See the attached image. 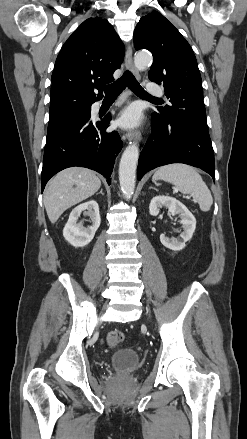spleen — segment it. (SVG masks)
<instances>
[{"mask_svg":"<svg viewBox=\"0 0 247 439\" xmlns=\"http://www.w3.org/2000/svg\"><path fill=\"white\" fill-rule=\"evenodd\" d=\"M152 179L174 184L180 192L192 196L203 212H208L213 204L207 185L199 173L189 165L174 163L162 166L154 173Z\"/></svg>","mask_w":247,"mask_h":439,"instance_id":"1","label":"spleen"}]
</instances>
